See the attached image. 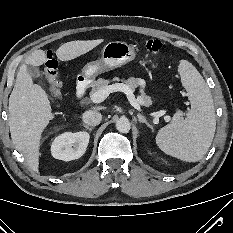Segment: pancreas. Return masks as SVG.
Listing matches in <instances>:
<instances>
[{"instance_id":"pancreas-1","label":"pancreas","mask_w":233,"mask_h":233,"mask_svg":"<svg viewBox=\"0 0 233 233\" xmlns=\"http://www.w3.org/2000/svg\"><path fill=\"white\" fill-rule=\"evenodd\" d=\"M112 81H121L122 84L127 85L132 91H135L137 87L140 86V96H139V104L145 107H149L152 104L151 97L147 96L144 92L145 82L140 78L130 77L127 80L120 79L118 77L113 78V80L99 78L98 80L91 83V91L90 96H92L99 89L109 86Z\"/></svg>"}]
</instances>
